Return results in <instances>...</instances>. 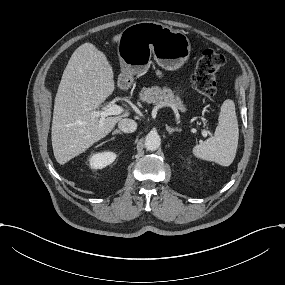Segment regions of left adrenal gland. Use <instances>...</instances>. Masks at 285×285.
<instances>
[{
  "label": "left adrenal gland",
  "mask_w": 285,
  "mask_h": 285,
  "mask_svg": "<svg viewBox=\"0 0 285 285\" xmlns=\"http://www.w3.org/2000/svg\"><path fill=\"white\" fill-rule=\"evenodd\" d=\"M165 127H166V129L169 131V134L170 135H172L174 132H181V130H179V129H174V128H172V127H170L169 125H165Z\"/></svg>",
  "instance_id": "left-adrenal-gland-1"
}]
</instances>
